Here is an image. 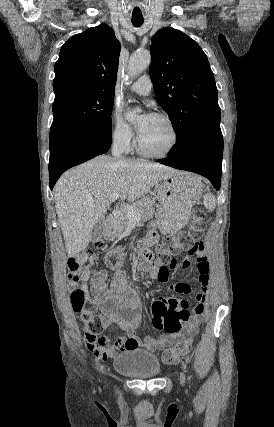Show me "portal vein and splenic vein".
<instances>
[{
  "mask_svg": "<svg viewBox=\"0 0 274 427\" xmlns=\"http://www.w3.org/2000/svg\"><path fill=\"white\" fill-rule=\"evenodd\" d=\"M117 198H120V194H113V196H110L108 198L109 202H115ZM124 210L126 212V215H128L129 219H135V221H139L140 214L137 212V210H134L133 206H124Z\"/></svg>",
  "mask_w": 274,
  "mask_h": 427,
  "instance_id": "portal-vein-and-splenic-vein-1",
  "label": "portal vein and splenic vein"
}]
</instances>
